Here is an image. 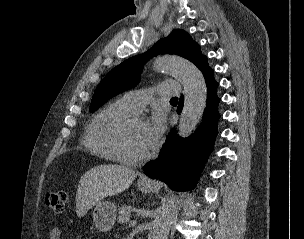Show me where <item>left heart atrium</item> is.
Returning a JSON list of instances; mask_svg holds the SVG:
<instances>
[{
	"instance_id": "obj_1",
	"label": "left heart atrium",
	"mask_w": 304,
	"mask_h": 239,
	"mask_svg": "<svg viewBox=\"0 0 304 239\" xmlns=\"http://www.w3.org/2000/svg\"><path fill=\"white\" fill-rule=\"evenodd\" d=\"M165 130V118L161 112H155L144 124V140L148 150L155 148Z\"/></svg>"
}]
</instances>
